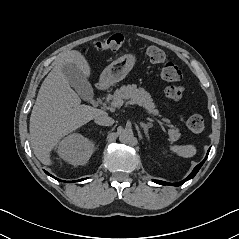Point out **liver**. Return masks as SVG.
<instances>
[{
  "label": "liver",
  "mask_w": 239,
  "mask_h": 239,
  "mask_svg": "<svg viewBox=\"0 0 239 239\" xmlns=\"http://www.w3.org/2000/svg\"><path fill=\"white\" fill-rule=\"evenodd\" d=\"M66 64H75L86 78L91 74L85 57L71 50L61 55L44 79L30 116L29 132L34 154L45 165L52 164L50 152L62 137L104 112L81 104L62 71Z\"/></svg>",
  "instance_id": "6515ba94"
}]
</instances>
